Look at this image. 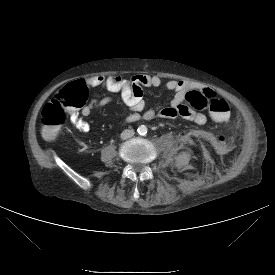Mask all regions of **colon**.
I'll return each mask as SVG.
<instances>
[{
  "instance_id": "colon-1",
  "label": "colon",
  "mask_w": 275,
  "mask_h": 275,
  "mask_svg": "<svg viewBox=\"0 0 275 275\" xmlns=\"http://www.w3.org/2000/svg\"><path fill=\"white\" fill-rule=\"evenodd\" d=\"M186 101L194 112L208 110L219 123L230 118V104L223 98L215 97L211 91H190L186 94ZM87 103L88 90L82 81H74L61 88L41 112V122L47 135L54 136L69 115L84 109Z\"/></svg>"
}]
</instances>
